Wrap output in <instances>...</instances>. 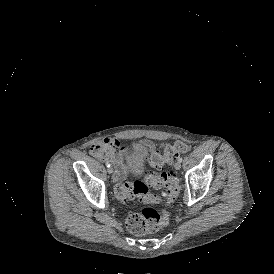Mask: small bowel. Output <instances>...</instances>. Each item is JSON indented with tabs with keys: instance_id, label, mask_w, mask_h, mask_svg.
<instances>
[{
	"instance_id": "small-bowel-1",
	"label": "small bowel",
	"mask_w": 274,
	"mask_h": 274,
	"mask_svg": "<svg viewBox=\"0 0 274 274\" xmlns=\"http://www.w3.org/2000/svg\"><path fill=\"white\" fill-rule=\"evenodd\" d=\"M138 148L148 152L156 150L157 146L150 140H142L138 144H121L116 139L106 138L90 146V153L95 158L111 163L114 166V178L116 181L124 180L130 167L123 158V154H133Z\"/></svg>"
}]
</instances>
